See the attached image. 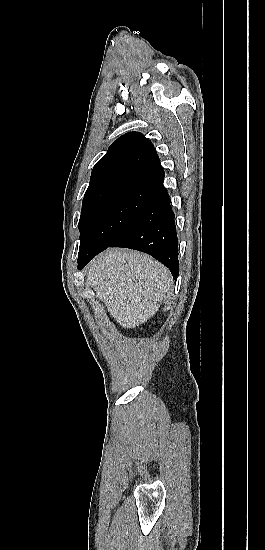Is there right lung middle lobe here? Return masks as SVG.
<instances>
[{
    "mask_svg": "<svg viewBox=\"0 0 265 550\" xmlns=\"http://www.w3.org/2000/svg\"><path fill=\"white\" fill-rule=\"evenodd\" d=\"M159 191V186L125 187L83 200L78 259L106 249L124 234L147 210Z\"/></svg>",
    "mask_w": 265,
    "mask_h": 550,
    "instance_id": "right-lung-middle-lobe-1",
    "label": "right lung middle lobe"
}]
</instances>
